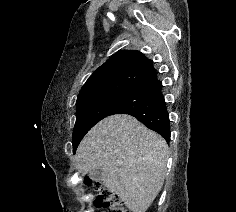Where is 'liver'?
<instances>
[{
  "label": "liver",
  "mask_w": 236,
  "mask_h": 212,
  "mask_svg": "<svg viewBox=\"0 0 236 212\" xmlns=\"http://www.w3.org/2000/svg\"><path fill=\"white\" fill-rule=\"evenodd\" d=\"M168 145L129 115L97 123L78 146L75 163L83 173L103 171V184L133 212H146L161 190Z\"/></svg>",
  "instance_id": "obj_1"
}]
</instances>
